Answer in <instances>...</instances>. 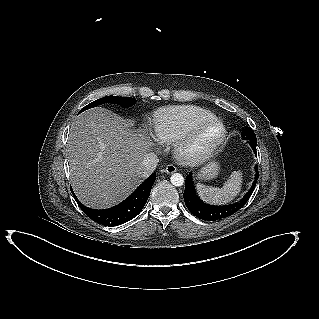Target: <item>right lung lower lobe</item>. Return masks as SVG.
<instances>
[{"mask_svg": "<svg viewBox=\"0 0 319 319\" xmlns=\"http://www.w3.org/2000/svg\"><path fill=\"white\" fill-rule=\"evenodd\" d=\"M155 179L156 173H153L127 199L108 209H90L79 202L73 191L72 194L81 210L95 222L108 226L120 225L130 221L141 212Z\"/></svg>", "mask_w": 319, "mask_h": 319, "instance_id": "1", "label": "right lung lower lobe"}]
</instances>
